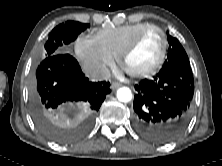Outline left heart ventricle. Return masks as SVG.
<instances>
[{
    "label": "left heart ventricle",
    "mask_w": 222,
    "mask_h": 166,
    "mask_svg": "<svg viewBox=\"0 0 222 166\" xmlns=\"http://www.w3.org/2000/svg\"><path fill=\"white\" fill-rule=\"evenodd\" d=\"M161 50V35L155 30L149 31L126 58L124 69L134 73L150 68L158 60Z\"/></svg>",
    "instance_id": "1"
}]
</instances>
